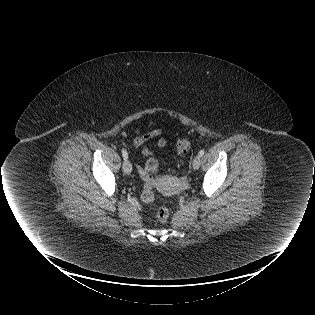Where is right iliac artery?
<instances>
[{
	"mask_svg": "<svg viewBox=\"0 0 315 315\" xmlns=\"http://www.w3.org/2000/svg\"><path fill=\"white\" fill-rule=\"evenodd\" d=\"M122 156H123L124 160H127L128 153H127V151L125 149H122Z\"/></svg>",
	"mask_w": 315,
	"mask_h": 315,
	"instance_id": "1",
	"label": "right iliac artery"
}]
</instances>
